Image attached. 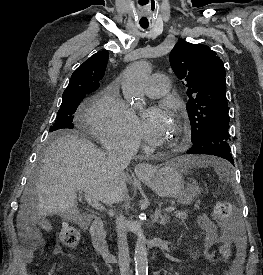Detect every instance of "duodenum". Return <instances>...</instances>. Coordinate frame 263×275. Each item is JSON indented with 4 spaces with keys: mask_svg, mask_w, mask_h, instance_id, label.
Segmentation results:
<instances>
[{
    "mask_svg": "<svg viewBox=\"0 0 263 275\" xmlns=\"http://www.w3.org/2000/svg\"><path fill=\"white\" fill-rule=\"evenodd\" d=\"M90 235L95 251L107 263H114L117 257L110 251L104 233V223L102 219L96 218L90 226Z\"/></svg>",
    "mask_w": 263,
    "mask_h": 275,
    "instance_id": "obj_1",
    "label": "duodenum"
}]
</instances>
